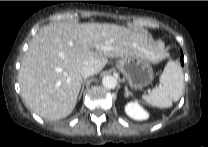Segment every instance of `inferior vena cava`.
Listing matches in <instances>:
<instances>
[{
  "instance_id": "602c4592",
  "label": "inferior vena cava",
  "mask_w": 208,
  "mask_h": 147,
  "mask_svg": "<svg viewBox=\"0 0 208 147\" xmlns=\"http://www.w3.org/2000/svg\"><path fill=\"white\" fill-rule=\"evenodd\" d=\"M94 73H95V69L92 66H85L81 70V76L83 78H88V77L94 75Z\"/></svg>"
}]
</instances>
